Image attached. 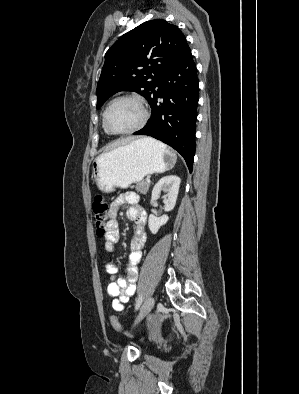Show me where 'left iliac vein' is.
Listing matches in <instances>:
<instances>
[{
    "instance_id": "1",
    "label": "left iliac vein",
    "mask_w": 299,
    "mask_h": 394,
    "mask_svg": "<svg viewBox=\"0 0 299 394\" xmlns=\"http://www.w3.org/2000/svg\"><path fill=\"white\" fill-rule=\"evenodd\" d=\"M154 303H155V300L153 297H149L144 302L137 318L135 319V322H134L135 325L138 324L145 316H147L149 314V312L152 310V308L154 306Z\"/></svg>"
}]
</instances>
